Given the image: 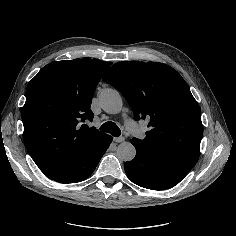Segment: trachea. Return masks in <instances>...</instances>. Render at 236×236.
Here are the masks:
<instances>
[{
  "instance_id": "1",
  "label": "trachea",
  "mask_w": 236,
  "mask_h": 236,
  "mask_svg": "<svg viewBox=\"0 0 236 236\" xmlns=\"http://www.w3.org/2000/svg\"><path fill=\"white\" fill-rule=\"evenodd\" d=\"M100 130L106 133H110L111 135L118 137L121 134V130L119 127L112 121L105 122L101 127Z\"/></svg>"
}]
</instances>
